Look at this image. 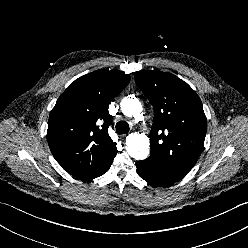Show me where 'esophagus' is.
Instances as JSON below:
<instances>
[{
  "instance_id": "esophagus-1",
  "label": "esophagus",
  "mask_w": 248,
  "mask_h": 248,
  "mask_svg": "<svg viewBox=\"0 0 248 248\" xmlns=\"http://www.w3.org/2000/svg\"><path fill=\"white\" fill-rule=\"evenodd\" d=\"M126 136H127V134H123V135H121V137H122V138H125Z\"/></svg>"
}]
</instances>
